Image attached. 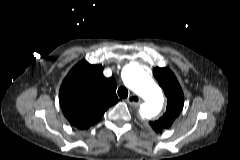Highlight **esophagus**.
Masks as SVG:
<instances>
[{
  "label": "esophagus",
  "mask_w": 240,
  "mask_h": 160,
  "mask_svg": "<svg viewBox=\"0 0 240 160\" xmlns=\"http://www.w3.org/2000/svg\"><path fill=\"white\" fill-rule=\"evenodd\" d=\"M126 102L131 106H138L141 103V99L136 94H131L127 99Z\"/></svg>",
  "instance_id": "esophagus-1"
}]
</instances>
